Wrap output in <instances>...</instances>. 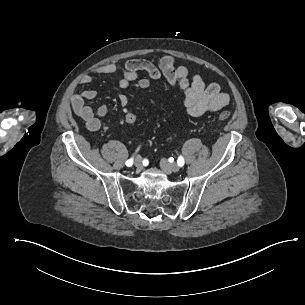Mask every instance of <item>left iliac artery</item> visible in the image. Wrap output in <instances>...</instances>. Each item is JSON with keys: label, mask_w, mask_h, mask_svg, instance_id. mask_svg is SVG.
Instances as JSON below:
<instances>
[{"label": "left iliac artery", "mask_w": 305, "mask_h": 305, "mask_svg": "<svg viewBox=\"0 0 305 305\" xmlns=\"http://www.w3.org/2000/svg\"><path fill=\"white\" fill-rule=\"evenodd\" d=\"M177 163L180 167H182L184 165V159L182 156H179L178 160H177Z\"/></svg>", "instance_id": "obj_1"}]
</instances>
